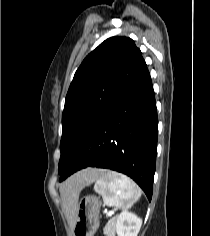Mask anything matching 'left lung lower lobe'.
<instances>
[{
    "label": "left lung lower lobe",
    "mask_w": 210,
    "mask_h": 236,
    "mask_svg": "<svg viewBox=\"0 0 210 236\" xmlns=\"http://www.w3.org/2000/svg\"><path fill=\"white\" fill-rule=\"evenodd\" d=\"M158 118L148 69L132 80L87 129L62 170L60 181L86 167L131 177L152 198Z\"/></svg>",
    "instance_id": "obj_1"
}]
</instances>
